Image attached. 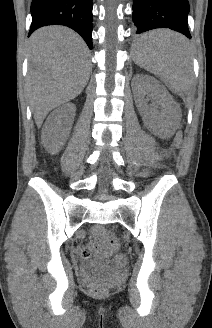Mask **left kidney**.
Segmentation results:
<instances>
[{
  "label": "left kidney",
  "instance_id": "obj_1",
  "mask_svg": "<svg viewBox=\"0 0 212 328\" xmlns=\"http://www.w3.org/2000/svg\"><path fill=\"white\" fill-rule=\"evenodd\" d=\"M135 102L137 108L144 119V124L153 131L154 134L162 137H171L177 130L181 110L176 101L167 90L153 77L138 75L134 81ZM150 94L156 100V104L161 108L158 113V120L154 121L155 111L147 105L145 96Z\"/></svg>",
  "mask_w": 212,
  "mask_h": 328
}]
</instances>
